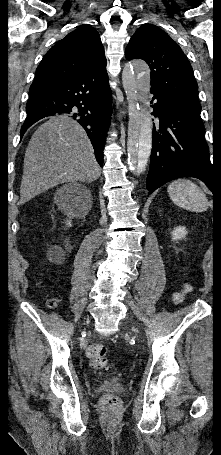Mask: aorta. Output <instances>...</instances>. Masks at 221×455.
Returning <instances> with one entry per match:
<instances>
[{
  "mask_svg": "<svg viewBox=\"0 0 221 455\" xmlns=\"http://www.w3.org/2000/svg\"><path fill=\"white\" fill-rule=\"evenodd\" d=\"M128 100V163L134 174L145 171L152 148V120L147 111L150 71L142 60L128 62L122 72Z\"/></svg>",
  "mask_w": 221,
  "mask_h": 455,
  "instance_id": "762f6f07",
  "label": "aorta"
}]
</instances>
